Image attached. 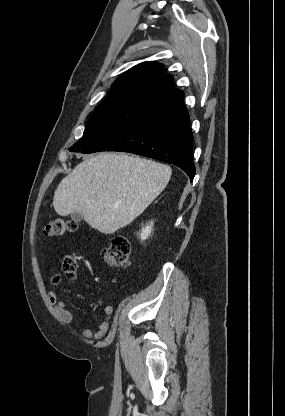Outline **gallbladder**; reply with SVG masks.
<instances>
[{
    "mask_svg": "<svg viewBox=\"0 0 285 416\" xmlns=\"http://www.w3.org/2000/svg\"><path fill=\"white\" fill-rule=\"evenodd\" d=\"M71 218L72 220H75V222H81V220H83L82 216H80L78 212H73V214H71Z\"/></svg>",
    "mask_w": 285,
    "mask_h": 416,
    "instance_id": "1",
    "label": "gallbladder"
}]
</instances>
